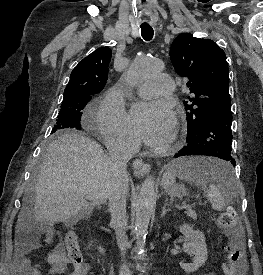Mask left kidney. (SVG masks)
Masks as SVG:
<instances>
[{
  "label": "left kidney",
  "instance_id": "5707ae66",
  "mask_svg": "<svg viewBox=\"0 0 263 275\" xmlns=\"http://www.w3.org/2000/svg\"><path fill=\"white\" fill-rule=\"evenodd\" d=\"M179 230L184 235V251L190 256H194L192 263H180V266L187 273L195 272L206 262L208 257L206 238L202 232L194 230L188 224H183Z\"/></svg>",
  "mask_w": 263,
  "mask_h": 275
}]
</instances>
